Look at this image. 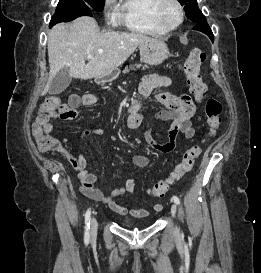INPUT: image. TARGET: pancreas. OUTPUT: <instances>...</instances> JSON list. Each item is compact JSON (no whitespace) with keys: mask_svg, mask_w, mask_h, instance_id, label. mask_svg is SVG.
Here are the masks:
<instances>
[{"mask_svg":"<svg viewBox=\"0 0 261 273\" xmlns=\"http://www.w3.org/2000/svg\"><path fill=\"white\" fill-rule=\"evenodd\" d=\"M140 68H142L143 70H146L148 67L147 66H143L141 64L130 65L129 67H126L123 70V73L126 74V73H129L131 70L140 69Z\"/></svg>","mask_w":261,"mask_h":273,"instance_id":"cf45deb5","label":"pancreas"}]
</instances>
